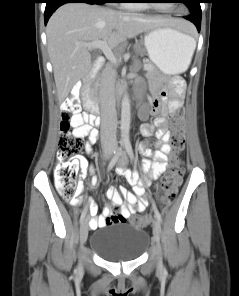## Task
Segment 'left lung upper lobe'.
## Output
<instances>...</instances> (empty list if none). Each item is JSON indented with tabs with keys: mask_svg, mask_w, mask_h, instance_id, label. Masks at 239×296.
Instances as JSON below:
<instances>
[{
	"mask_svg": "<svg viewBox=\"0 0 239 296\" xmlns=\"http://www.w3.org/2000/svg\"><path fill=\"white\" fill-rule=\"evenodd\" d=\"M189 8V14L201 18L200 0H182Z\"/></svg>",
	"mask_w": 239,
	"mask_h": 296,
	"instance_id": "left-lung-upper-lobe-1",
	"label": "left lung upper lobe"
}]
</instances>
